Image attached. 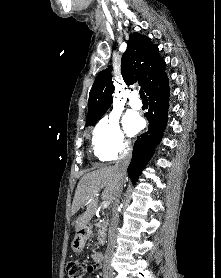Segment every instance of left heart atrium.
<instances>
[{
    "instance_id": "left-heart-atrium-1",
    "label": "left heart atrium",
    "mask_w": 221,
    "mask_h": 278,
    "mask_svg": "<svg viewBox=\"0 0 221 278\" xmlns=\"http://www.w3.org/2000/svg\"><path fill=\"white\" fill-rule=\"evenodd\" d=\"M142 119L136 114H128L124 118V127L128 134L134 135L142 128Z\"/></svg>"
}]
</instances>
